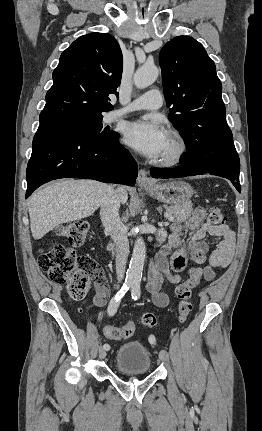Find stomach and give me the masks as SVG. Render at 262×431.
Returning <instances> with one entry per match:
<instances>
[{
  "instance_id": "1",
  "label": "stomach",
  "mask_w": 262,
  "mask_h": 431,
  "mask_svg": "<svg viewBox=\"0 0 262 431\" xmlns=\"http://www.w3.org/2000/svg\"><path fill=\"white\" fill-rule=\"evenodd\" d=\"M145 190L153 198L171 206H190L189 200L194 193L193 188L182 180L158 183L145 187Z\"/></svg>"
}]
</instances>
